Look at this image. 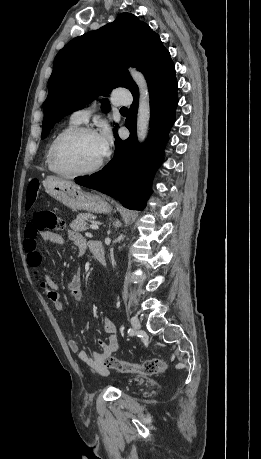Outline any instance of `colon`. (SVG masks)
Here are the masks:
<instances>
[{
	"label": "colon",
	"instance_id": "colon-1",
	"mask_svg": "<svg viewBox=\"0 0 261 459\" xmlns=\"http://www.w3.org/2000/svg\"><path fill=\"white\" fill-rule=\"evenodd\" d=\"M40 188V182L37 179H33L29 182L25 197V206L27 210L35 205L40 194ZM65 228L66 222L63 219L57 217L50 211H40L35 213L32 218L26 220L24 234L26 238H35L38 231L45 229L64 230ZM105 364L107 367L122 373H136L141 375L164 373L167 369L166 363L156 358L138 364L108 356L105 360Z\"/></svg>",
	"mask_w": 261,
	"mask_h": 459
}]
</instances>
